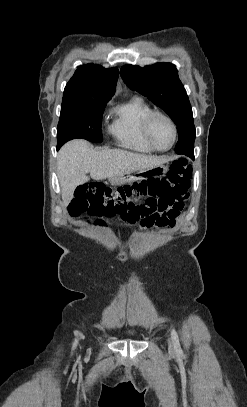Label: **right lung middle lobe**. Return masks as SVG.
<instances>
[{"label": "right lung middle lobe", "instance_id": "right-lung-middle-lobe-1", "mask_svg": "<svg viewBox=\"0 0 247 407\" xmlns=\"http://www.w3.org/2000/svg\"><path fill=\"white\" fill-rule=\"evenodd\" d=\"M108 100L68 102L61 106L57 127V149L74 138L101 143L102 114Z\"/></svg>", "mask_w": 247, "mask_h": 407}]
</instances>
